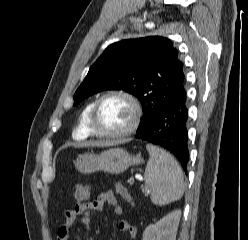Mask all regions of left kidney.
<instances>
[{
    "mask_svg": "<svg viewBox=\"0 0 248 240\" xmlns=\"http://www.w3.org/2000/svg\"><path fill=\"white\" fill-rule=\"evenodd\" d=\"M181 211L175 210L146 227L142 240H176Z\"/></svg>",
    "mask_w": 248,
    "mask_h": 240,
    "instance_id": "left-kidney-1",
    "label": "left kidney"
}]
</instances>
